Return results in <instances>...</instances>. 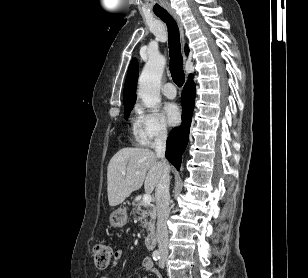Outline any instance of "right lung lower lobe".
<instances>
[{"instance_id": "right-lung-lower-lobe-1", "label": "right lung lower lobe", "mask_w": 308, "mask_h": 278, "mask_svg": "<svg viewBox=\"0 0 308 278\" xmlns=\"http://www.w3.org/2000/svg\"><path fill=\"white\" fill-rule=\"evenodd\" d=\"M194 101L195 84L190 76L182 92V124L179 128H174L171 131L166 144L165 155L177 169L180 167L182 154L187 146Z\"/></svg>"}]
</instances>
